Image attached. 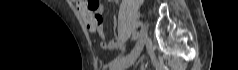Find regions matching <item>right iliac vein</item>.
<instances>
[{"label":"right iliac vein","mask_w":238,"mask_h":70,"mask_svg":"<svg viewBox=\"0 0 238 70\" xmlns=\"http://www.w3.org/2000/svg\"><path fill=\"white\" fill-rule=\"evenodd\" d=\"M146 40H147V32H146L145 27H142L140 36H139V40H138L135 48L131 52V54L128 55L122 61H120L117 65H115L112 70H125L129 66H131L136 61L138 56L140 55Z\"/></svg>","instance_id":"right-iliac-vein-1"}]
</instances>
